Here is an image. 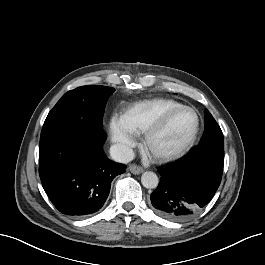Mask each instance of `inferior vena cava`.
I'll use <instances>...</instances> for the list:
<instances>
[{"label": "inferior vena cava", "mask_w": 265, "mask_h": 265, "mask_svg": "<svg viewBox=\"0 0 265 265\" xmlns=\"http://www.w3.org/2000/svg\"><path fill=\"white\" fill-rule=\"evenodd\" d=\"M111 158L119 163H128L135 157L133 150L124 144H114L110 147Z\"/></svg>", "instance_id": "inferior-vena-cava-1"}]
</instances>
